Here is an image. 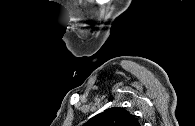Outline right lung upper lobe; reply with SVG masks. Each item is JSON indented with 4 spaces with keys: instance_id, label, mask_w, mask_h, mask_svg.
Segmentation results:
<instances>
[{
    "instance_id": "cb5924a9",
    "label": "right lung upper lobe",
    "mask_w": 195,
    "mask_h": 126,
    "mask_svg": "<svg viewBox=\"0 0 195 126\" xmlns=\"http://www.w3.org/2000/svg\"><path fill=\"white\" fill-rule=\"evenodd\" d=\"M84 126H140L137 119L120 107H113L96 115Z\"/></svg>"
}]
</instances>
